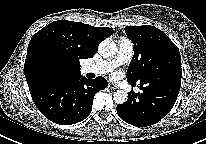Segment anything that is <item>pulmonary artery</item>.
Instances as JSON below:
<instances>
[{"label":"pulmonary artery","mask_w":206,"mask_h":144,"mask_svg":"<svg viewBox=\"0 0 206 144\" xmlns=\"http://www.w3.org/2000/svg\"><path fill=\"white\" fill-rule=\"evenodd\" d=\"M132 56L133 43L129 39H121L118 42L117 53L112 59L88 64L83 68V71L85 73L105 74L130 61Z\"/></svg>","instance_id":"e3ab8cb5"}]
</instances>
